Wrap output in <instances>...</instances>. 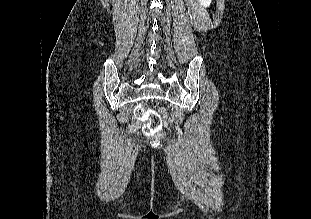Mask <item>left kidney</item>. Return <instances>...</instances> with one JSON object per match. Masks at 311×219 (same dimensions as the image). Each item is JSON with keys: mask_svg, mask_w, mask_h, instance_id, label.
<instances>
[{"mask_svg": "<svg viewBox=\"0 0 311 219\" xmlns=\"http://www.w3.org/2000/svg\"><path fill=\"white\" fill-rule=\"evenodd\" d=\"M203 7H209L212 0H197Z\"/></svg>", "mask_w": 311, "mask_h": 219, "instance_id": "obj_1", "label": "left kidney"}]
</instances>
